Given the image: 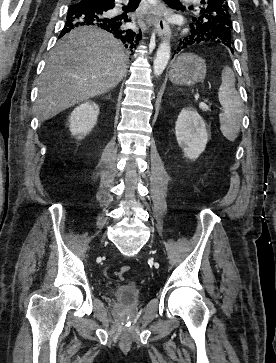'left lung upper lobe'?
<instances>
[{"label": "left lung upper lobe", "instance_id": "5c2ea615", "mask_svg": "<svg viewBox=\"0 0 276 363\" xmlns=\"http://www.w3.org/2000/svg\"><path fill=\"white\" fill-rule=\"evenodd\" d=\"M201 4L203 7L200 10V16L193 18L194 23L191 25L203 29V32L213 37V41L223 43L232 51V22L227 1L201 0Z\"/></svg>", "mask_w": 276, "mask_h": 363}]
</instances>
